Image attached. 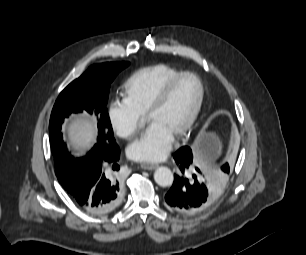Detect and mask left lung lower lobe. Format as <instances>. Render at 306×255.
<instances>
[{
  "mask_svg": "<svg viewBox=\"0 0 306 255\" xmlns=\"http://www.w3.org/2000/svg\"><path fill=\"white\" fill-rule=\"evenodd\" d=\"M174 159L180 169L178 174L174 175V182L165 195L167 204L175 211L182 214H193L204 209L212 200L217 192V185L208 183L206 180L197 179L196 174L192 178L186 177L189 170H193L192 150L188 146L180 148L175 154ZM200 173V169L195 167ZM221 170L228 174L229 165L225 164ZM223 178L224 175L220 174Z\"/></svg>",
  "mask_w": 306,
  "mask_h": 255,
  "instance_id": "left-lung-lower-lobe-1",
  "label": "left lung lower lobe"
}]
</instances>
